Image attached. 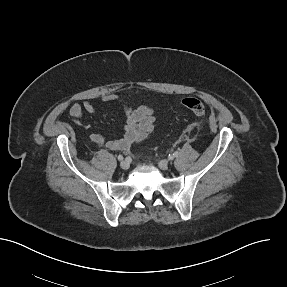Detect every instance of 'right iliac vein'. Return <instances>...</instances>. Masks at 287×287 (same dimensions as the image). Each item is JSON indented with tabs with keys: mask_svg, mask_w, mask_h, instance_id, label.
Masks as SVG:
<instances>
[{
	"mask_svg": "<svg viewBox=\"0 0 287 287\" xmlns=\"http://www.w3.org/2000/svg\"><path fill=\"white\" fill-rule=\"evenodd\" d=\"M120 167L123 169V170H128L129 167H130V164L127 160H123L121 163H120Z\"/></svg>",
	"mask_w": 287,
	"mask_h": 287,
	"instance_id": "obj_1",
	"label": "right iliac vein"
}]
</instances>
